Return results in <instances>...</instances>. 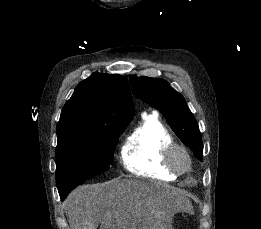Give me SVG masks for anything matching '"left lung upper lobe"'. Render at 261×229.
<instances>
[{
    "mask_svg": "<svg viewBox=\"0 0 261 229\" xmlns=\"http://www.w3.org/2000/svg\"><path fill=\"white\" fill-rule=\"evenodd\" d=\"M130 84L135 96L158 109L179 139L202 161L201 133L184 97L163 79L131 76Z\"/></svg>",
    "mask_w": 261,
    "mask_h": 229,
    "instance_id": "obj_1",
    "label": "left lung upper lobe"
}]
</instances>
